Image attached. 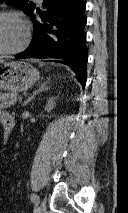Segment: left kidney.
I'll list each match as a JSON object with an SVG mask.
<instances>
[{
	"label": "left kidney",
	"mask_w": 128,
	"mask_h": 213,
	"mask_svg": "<svg viewBox=\"0 0 128 213\" xmlns=\"http://www.w3.org/2000/svg\"><path fill=\"white\" fill-rule=\"evenodd\" d=\"M54 106H55V102H54V99L52 98V99H50V100L48 101V103H47V105H46V107H45V110H46L47 112H50V111L54 108Z\"/></svg>",
	"instance_id": "obj_1"
}]
</instances>
